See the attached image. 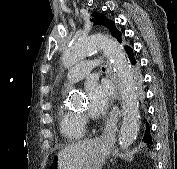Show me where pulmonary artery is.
I'll list each match as a JSON object with an SVG mask.
<instances>
[{
    "label": "pulmonary artery",
    "instance_id": "e3ab8cb5",
    "mask_svg": "<svg viewBox=\"0 0 177 169\" xmlns=\"http://www.w3.org/2000/svg\"><path fill=\"white\" fill-rule=\"evenodd\" d=\"M99 64L100 60L97 58L85 59L68 72L67 78L71 83H77L83 80L92 69H99Z\"/></svg>",
    "mask_w": 177,
    "mask_h": 169
}]
</instances>
